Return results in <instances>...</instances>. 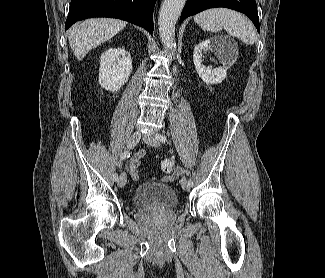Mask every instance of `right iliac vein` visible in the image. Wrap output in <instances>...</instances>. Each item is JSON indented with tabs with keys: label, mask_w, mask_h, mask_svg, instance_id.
Instances as JSON below:
<instances>
[{
	"label": "right iliac vein",
	"mask_w": 325,
	"mask_h": 278,
	"mask_svg": "<svg viewBox=\"0 0 325 278\" xmlns=\"http://www.w3.org/2000/svg\"><path fill=\"white\" fill-rule=\"evenodd\" d=\"M140 136H141V134L138 131L131 134V136L129 137V139L127 141V148L133 149L139 142ZM126 183H127V176L125 173H121L120 177H119L118 185L120 187H123L126 185Z\"/></svg>",
	"instance_id": "1"
}]
</instances>
